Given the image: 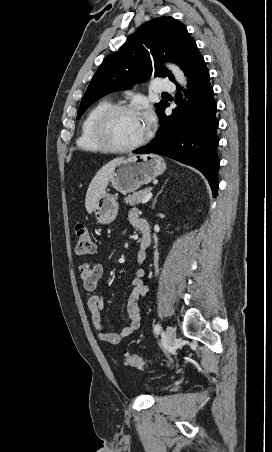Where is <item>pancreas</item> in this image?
Returning <instances> with one entry per match:
<instances>
[{
    "label": "pancreas",
    "mask_w": 272,
    "mask_h": 452,
    "mask_svg": "<svg viewBox=\"0 0 272 452\" xmlns=\"http://www.w3.org/2000/svg\"><path fill=\"white\" fill-rule=\"evenodd\" d=\"M151 192V188H145L143 190L134 192L132 195H128L124 198V201L126 204L130 205V206H135L139 203L142 202V200L144 199V197Z\"/></svg>",
    "instance_id": "cf45deb5"
}]
</instances>
